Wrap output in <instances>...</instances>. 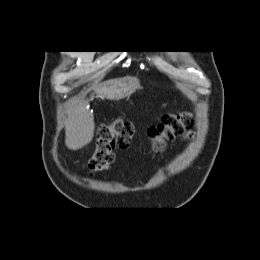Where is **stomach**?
<instances>
[{
    "instance_id": "obj_1",
    "label": "stomach",
    "mask_w": 260,
    "mask_h": 260,
    "mask_svg": "<svg viewBox=\"0 0 260 260\" xmlns=\"http://www.w3.org/2000/svg\"><path fill=\"white\" fill-rule=\"evenodd\" d=\"M139 87V82L136 78L126 77L118 79L111 89V97L113 100H119L130 96Z\"/></svg>"
}]
</instances>
